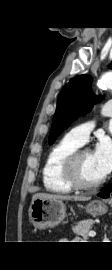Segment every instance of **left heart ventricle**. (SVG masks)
<instances>
[{"mask_svg":"<svg viewBox=\"0 0 112 270\" xmlns=\"http://www.w3.org/2000/svg\"><path fill=\"white\" fill-rule=\"evenodd\" d=\"M79 177L84 183H94L99 181L103 176L97 168L93 153L86 151L79 160L78 165Z\"/></svg>","mask_w":112,"mask_h":270,"instance_id":"left-heart-ventricle-1","label":"left heart ventricle"}]
</instances>
